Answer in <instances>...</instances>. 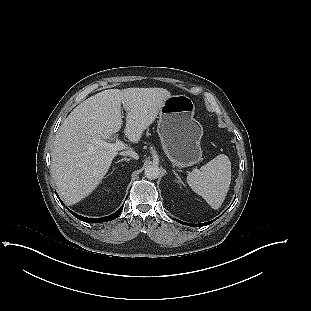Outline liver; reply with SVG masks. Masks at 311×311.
I'll list each match as a JSON object with an SVG mask.
<instances>
[{"label":"liver","instance_id":"1","mask_svg":"<svg viewBox=\"0 0 311 311\" xmlns=\"http://www.w3.org/2000/svg\"><path fill=\"white\" fill-rule=\"evenodd\" d=\"M170 96L163 88L108 89L73 109L55 136L51 158L56 186L68 204L91 194L117 156L116 150L104 148L100 141L110 139L121 129V105L126 111L124 133L131 142L138 143Z\"/></svg>","mask_w":311,"mask_h":311}]
</instances>
